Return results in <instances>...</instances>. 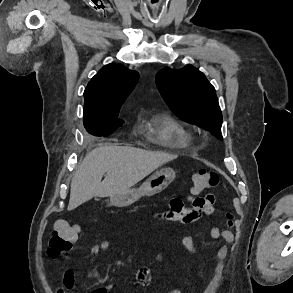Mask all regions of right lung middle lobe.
<instances>
[{
  "label": "right lung middle lobe",
  "instance_id": "right-lung-middle-lobe-1",
  "mask_svg": "<svg viewBox=\"0 0 293 293\" xmlns=\"http://www.w3.org/2000/svg\"><path fill=\"white\" fill-rule=\"evenodd\" d=\"M118 113L114 112L107 115L84 117V126L92 135H109L124 123L123 120L118 119Z\"/></svg>",
  "mask_w": 293,
  "mask_h": 293
}]
</instances>
